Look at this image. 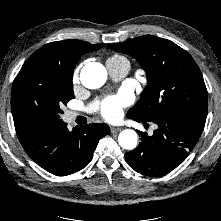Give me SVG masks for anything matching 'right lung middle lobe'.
I'll return each mask as SVG.
<instances>
[{"instance_id": "right-lung-middle-lobe-1", "label": "right lung middle lobe", "mask_w": 221, "mask_h": 221, "mask_svg": "<svg viewBox=\"0 0 221 221\" xmlns=\"http://www.w3.org/2000/svg\"><path fill=\"white\" fill-rule=\"evenodd\" d=\"M74 63L29 57L16 76L11 91V111L16 130L63 123L61 107L74 98Z\"/></svg>"}]
</instances>
